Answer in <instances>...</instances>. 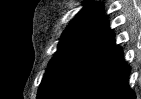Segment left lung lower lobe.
I'll list each match as a JSON object with an SVG mask.
<instances>
[{
  "label": "left lung lower lobe",
  "mask_w": 141,
  "mask_h": 99,
  "mask_svg": "<svg viewBox=\"0 0 141 99\" xmlns=\"http://www.w3.org/2000/svg\"><path fill=\"white\" fill-rule=\"evenodd\" d=\"M130 67L105 22L74 54L40 99H135Z\"/></svg>",
  "instance_id": "1"
}]
</instances>
